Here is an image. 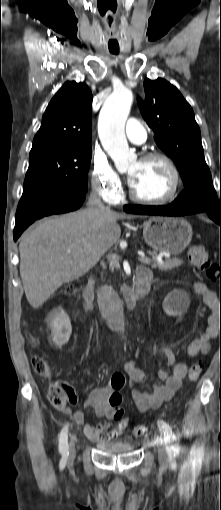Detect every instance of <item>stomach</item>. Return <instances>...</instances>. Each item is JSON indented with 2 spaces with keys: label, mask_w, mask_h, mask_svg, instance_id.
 <instances>
[{
  "label": "stomach",
  "mask_w": 221,
  "mask_h": 510,
  "mask_svg": "<svg viewBox=\"0 0 221 510\" xmlns=\"http://www.w3.org/2000/svg\"><path fill=\"white\" fill-rule=\"evenodd\" d=\"M192 227L177 217H152L144 223L143 237L155 251L181 253L191 242Z\"/></svg>",
  "instance_id": "obj_1"
}]
</instances>
